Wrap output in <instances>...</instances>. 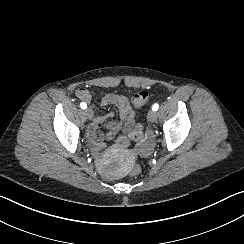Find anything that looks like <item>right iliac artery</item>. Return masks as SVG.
Wrapping results in <instances>:
<instances>
[{"label":"right iliac artery","instance_id":"obj_1","mask_svg":"<svg viewBox=\"0 0 244 244\" xmlns=\"http://www.w3.org/2000/svg\"><path fill=\"white\" fill-rule=\"evenodd\" d=\"M80 107H81L82 109H86V108H87V105H86V103L82 102V103L80 104Z\"/></svg>","mask_w":244,"mask_h":244}]
</instances>
